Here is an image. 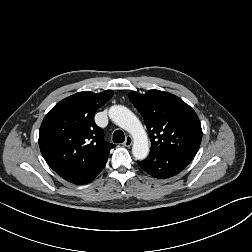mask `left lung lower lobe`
Returning <instances> with one entry per match:
<instances>
[{
	"instance_id": "0a47b994",
	"label": "left lung lower lobe",
	"mask_w": 252,
	"mask_h": 252,
	"mask_svg": "<svg viewBox=\"0 0 252 252\" xmlns=\"http://www.w3.org/2000/svg\"><path fill=\"white\" fill-rule=\"evenodd\" d=\"M193 159L183 154L149 155L145 160L138 161L139 166L156 178H168L181 172Z\"/></svg>"
}]
</instances>
